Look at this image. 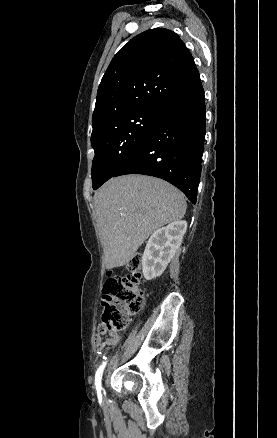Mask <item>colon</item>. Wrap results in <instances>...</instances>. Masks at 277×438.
Instances as JSON below:
<instances>
[{
	"instance_id": "5ec220e1",
	"label": "colon",
	"mask_w": 277,
	"mask_h": 438,
	"mask_svg": "<svg viewBox=\"0 0 277 438\" xmlns=\"http://www.w3.org/2000/svg\"><path fill=\"white\" fill-rule=\"evenodd\" d=\"M141 264L133 259L128 264L130 276H111L109 274L107 284L99 286V295L105 297L103 302L108 304L99 322V331L123 330L127 327L132 315L141 310L144 291L139 287Z\"/></svg>"
}]
</instances>
